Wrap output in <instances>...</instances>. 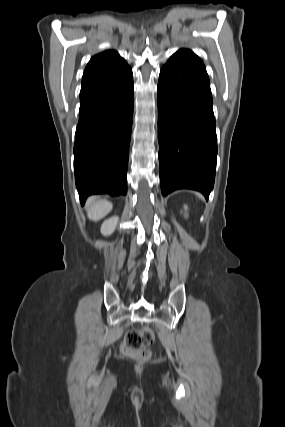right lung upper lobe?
<instances>
[{"mask_svg": "<svg viewBox=\"0 0 285 427\" xmlns=\"http://www.w3.org/2000/svg\"><path fill=\"white\" fill-rule=\"evenodd\" d=\"M128 67L114 50H106L91 58L82 78V88L118 75Z\"/></svg>", "mask_w": 285, "mask_h": 427, "instance_id": "right-lung-upper-lobe-1", "label": "right lung upper lobe"}]
</instances>
